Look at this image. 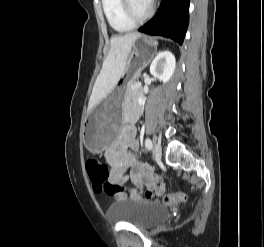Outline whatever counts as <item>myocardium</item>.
Segmentation results:
<instances>
[{"instance_id":"1","label":"myocardium","mask_w":264,"mask_h":247,"mask_svg":"<svg viewBox=\"0 0 264 247\" xmlns=\"http://www.w3.org/2000/svg\"><path fill=\"white\" fill-rule=\"evenodd\" d=\"M153 6L149 4L148 10L143 15H136L133 11L131 0H122V11L125 17L133 24L146 21L153 13Z\"/></svg>"}]
</instances>
